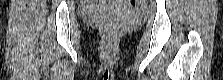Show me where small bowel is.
<instances>
[{"instance_id":"small-bowel-1","label":"small bowel","mask_w":223,"mask_h":80,"mask_svg":"<svg viewBox=\"0 0 223 80\" xmlns=\"http://www.w3.org/2000/svg\"><path fill=\"white\" fill-rule=\"evenodd\" d=\"M87 7L90 8V9H92V8H94V4L91 3V2H89V3L87 4Z\"/></svg>"}]
</instances>
